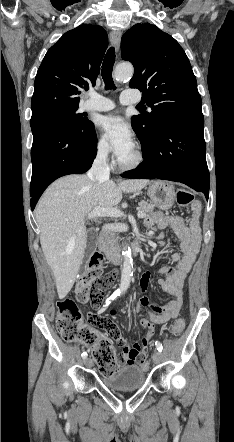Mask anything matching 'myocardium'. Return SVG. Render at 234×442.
<instances>
[{"label":"myocardium","instance_id":"1","mask_svg":"<svg viewBox=\"0 0 234 442\" xmlns=\"http://www.w3.org/2000/svg\"><path fill=\"white\" fill-rule=\"evenodd\" d=\"M135 158L131 162H123L120 159L116 160L117 166L123 171H132L142 165L145 159L143 148L139 145H135Z\"/></svg>","mask_w":234,"mask_h":442}]
</instances>
